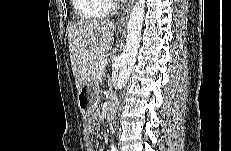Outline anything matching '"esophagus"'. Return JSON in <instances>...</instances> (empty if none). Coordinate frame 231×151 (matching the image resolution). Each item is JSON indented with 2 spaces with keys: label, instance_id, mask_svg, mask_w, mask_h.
Wrapping results in <instances>:
<instances>
[{
  "label": "esophagus",
  "instance_id": "obj_1",
  "mask_svg": "<svg viewBox=\"0 0 231 151\" xmlns=\"http://www.w3.org/2000/svg\"><path fill=\"white\" fill-rule=\"evenodd\" d=\"M133 3H134V0H130L128 2L126 9L124 10L120 19L118 20V23H117L118 27H123L127 23Z\"/></svg>",
  "mask_w": 231,
  "mask_h": 151
}]
</instances>
